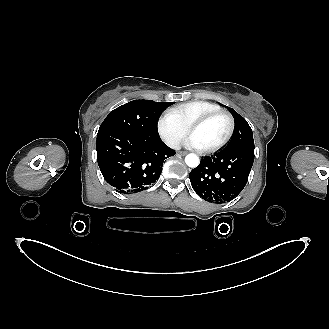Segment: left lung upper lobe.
<instances>
[{
    "mask_svg": "<svg viewBox=\"0 0 329 329\" xmlns=\"http://www.w3.org/2000/svg\"><path fill=\"white\" fill-rule=\"evenodd\" d=\"M235 120V128L232 138L223 150H233L237 148L254 149L252 130L247 121L234 109L228 108Z\"/></svg>",
    "mask_w": 329,
    "mask_h": 329,
    "instance_id": "1",
    "label": "left lung upper lobe"
}]
</instances>
